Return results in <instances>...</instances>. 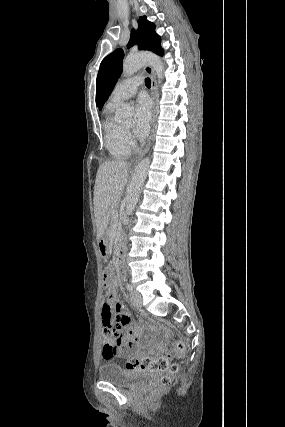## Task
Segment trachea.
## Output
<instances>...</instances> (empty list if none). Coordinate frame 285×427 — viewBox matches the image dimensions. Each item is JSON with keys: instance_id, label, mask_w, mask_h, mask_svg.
I'll list each match as a JSON object with an SVG mask.
<instances>
[{"instance_id": "obj_1", "label": "trachea", "mask_w": 285, "mask_h": 427, "mask_svg": "<svg viewBox=\"0 0 285 427\" xmlns=\"http://www.w3.org/2000/svg\"><path fill=\"white\" fill-rule=\"evenodd\" d=\"M145 85H146V87H148V88H150V87H151V81H150V78H146V79H145Z\"/></svg>"}]
</instances>
